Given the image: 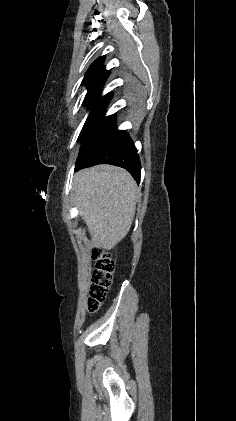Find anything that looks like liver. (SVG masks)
<instances>
[{
    "label": "liver",
    "mask_w": 236,
    "mask_h": 421,
    "mask_svg": "<svg viewBox=\"0 0 236 421\" xmlns=\"http://www.w3.org/2000/svg\"><path fill=\"white\" fill-rule=\"evenodd\" d=\"M138 186L131 174L111 164L82 168L74 176L73 200L94 247L111 251L131 229Z\"/></svg>",
    "instance_id": "6515ba94"
}]
</instances>
